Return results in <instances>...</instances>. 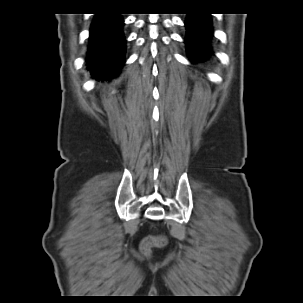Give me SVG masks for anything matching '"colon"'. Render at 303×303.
<instances>
[{
    "instance_id": "obj_1",
    "label": "colon",
    "mask_w": 303,
    "mask_h": 303,
    "mask_svg": "<svg viewBox=\"0 0 303 303\" xmlns=\"http://www.w3.org/2000/svg\"><path fill=\"white\" fill-rule=\"evenodd\" d=\"M167 244V239L163 235L150 236L144 240L141 246V252L145 256H150L153 249L163 248Z\"/></svg>"
}]
</instances>
